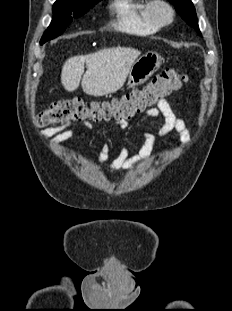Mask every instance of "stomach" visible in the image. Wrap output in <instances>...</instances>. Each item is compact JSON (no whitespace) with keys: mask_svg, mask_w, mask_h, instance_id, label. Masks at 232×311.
<instances>
[{"mask_svg":"<svg viewBox=\"0 0 232 311\" xmlns=\"http://www.w3.org/2000/svg\"><path fill=\"white\" fill-rule=\"evenodd\" d=\"M163 59L156 52H147L139 57L127 75V85L138 86L146 82L161 66Z\"/></svg>","mask_w":232,"mask_h":311,"instance_id":"0dacf381","label":"stomach"}]
</instances>
